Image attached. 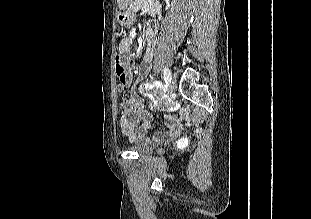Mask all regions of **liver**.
<instances>
[{
    "label": "liver",
    "mask_w": 311,
    "mask_h": 219,
    "mask_svg": "<svg viewBox=\"0 0 311 219\" xmlns=\"http://www.w3.org/2000/svg\"><path fill=\"white\" fill-rule=\"evenodd\" d=\"M129 2H130V0H117V3H118V5H119V7H120V9L122 10H125L126 9V7L128 6V4H129Z\"/></svg>",
    "instance_id": "6515ba94"
}]
</instances>
